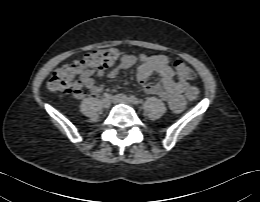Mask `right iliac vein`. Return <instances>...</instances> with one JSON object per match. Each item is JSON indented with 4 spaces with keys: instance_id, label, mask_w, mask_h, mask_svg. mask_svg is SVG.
Here are the masks:
<instances>
[{
    "instance_id": "obj_1",
    "label": "right iliac vein",
    "mask_w": 260,
    "mask_h": 202,
    "mask_svg": "<svg viewBox=\"0 0 260 202\" xmlns=\"http://www.w3.org/2000/svg\"><path fill=\"white\" fill-rule=\"evenodd\" d=\"M102 106H103L104 108H109V107L111 106V100L108 99V98H104V99L102 100Z\"/></svg>"
}]
</instances>
